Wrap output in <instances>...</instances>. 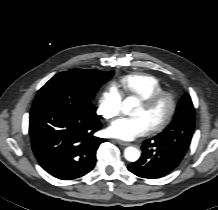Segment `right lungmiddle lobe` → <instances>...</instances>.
<instances>
[{"mask_svg": "<svg viewBox=\"0 0 218 210\" xmlns=\"http://www.w3.org/2000/svg\"><path fill=\"white\" fill-rule=\"evenodd\" d=\"M113 73L114 71L107 74H95L79 69L61 72L38 91L32 108L55 105L88 116L96 115V109L91 101L98 88L109 80Z\"/></svg>", "mask_w": 218, "mask_h": 210, "instance_id": "1", "label": "right lung middle lobe"}]
</instances>
